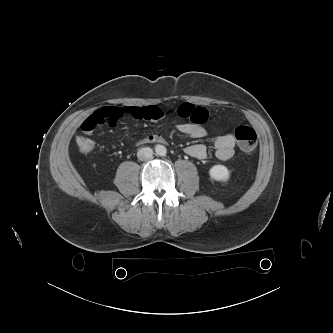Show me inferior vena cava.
<instances>
[{"mask_svg":"<svg viewBox=\"0 0 333 333\" xmlns=\"http://www.w3.org/2000/svg\"><path fill=\"white\" fill-rule=\"evenodd\" d=\"M153 156V150L149 147L141 148L138 153L137 157L141 161H146L151 159Z\"/></svg>","mask_w":333,"mask_h":333,"instance_id":"602c4592","label":"inferior vena cava"}]
</instances>
